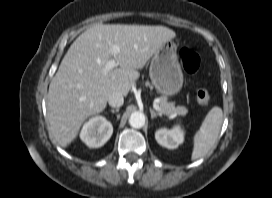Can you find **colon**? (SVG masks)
Listing matches in <instances>:
<instances>
[{
  "label": "colon",
  "instance_id": "obj_1",
  "mask_svg": "<svg viewBox=\"0 0 272 198\" xmlns=\"http://www.w3.org/2000/svg\"><path fill=\"white\" fill-rule=\"evenodd\" d=\"M181 64L186 72L190 74L197 73L201 68L200 57L190 47L184 46L179 51ZM197 100L201 104H208L211 100V92L208 88L201 87L196 93Z\"/></svg>",
  "mask_w": 272,
  "mask_h": 198
}]
</instances>
